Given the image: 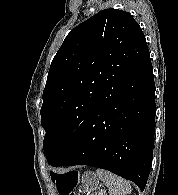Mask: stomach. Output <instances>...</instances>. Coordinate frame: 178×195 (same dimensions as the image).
I'll return each mask as SVG.
<instances>
[{
    "label": "stomach",
    "instance_id": "obj_1",
    "mask_svg": "<svg viewBox=\"0 0 178 195\" xmlns=\"http://www.w3.org/2000/svg\"><path fill=\"white\" fill-rule=\"evenodd\" d=\"M80 181L82 183L81 193L84 195H94L96 190L99 188V178L93 172H85Z\"/></svg>",
    "mask_w": 178,
    "mask_h": 195
}]
</instances>
